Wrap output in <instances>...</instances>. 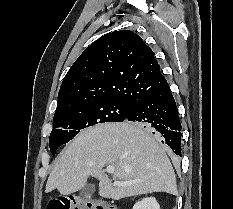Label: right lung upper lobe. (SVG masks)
<instances>
[{
    "label": "right lung upper lobe",
    "instance_id": "right-lung-upper-lobe-1",
    "mask_svg": "<svg viewBox=\"0 0 233 209\" xmlns=\"http://www.w3.org/2000/svg\"><path fill=\"white\" fill-rule=\"evenodd\" d=\"M167 84L153 51L129 30L102 36L87 47L63 79L55 115L107 98L136 103Z\"/></svg>",
    "mask_w": 233,
    "mask_h": 209
}]
</instances>
